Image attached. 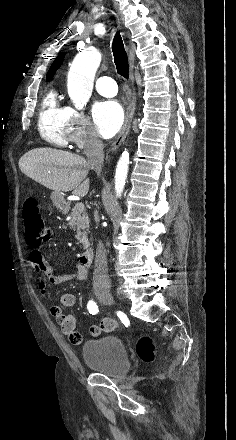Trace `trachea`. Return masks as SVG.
<instances>
[{"label":"trachea","instance_id":"3493384b","mask_svg":"<svg viewBox=\"0 0 236 440\" xmlns=\"http://www.w3.org/2000/svg\"><path fill=\"white\" fill-rule=\"evenodd\" d=\"M112 51L114 55V62L116 65L117 73L125 78H129V63L128 56L124 48L123 40L120 34H116L112 44Z\"/></svg>","mask_w":236,"mask_h":440}]
</instances>
